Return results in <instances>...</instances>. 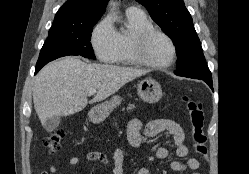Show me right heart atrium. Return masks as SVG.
<instances>
[{
  "label": "right heart atrium",
  "instance_id": "1",
  "mask_svg": "<svg viewBox=\"0 0 249 174\" xmlns=\"http://www.w3.org/2000/svg\"><path fill=\"white\" fill-rule=\"evenodd\" d=\"M91 45L94 53L103 62H112L119 51L117 31L108 18L102 19L93 29Z\"/></svg>",
  "mask_w": 249,
  "mask_h": 174
}]
</instances>
